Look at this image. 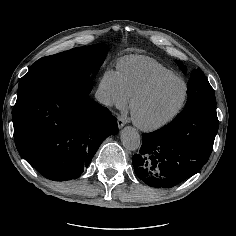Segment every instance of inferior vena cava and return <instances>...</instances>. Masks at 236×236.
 <instances>
[{
    "instance_id": "inferior-vena-cava-1",
    "label": "inferior vena cava",
    "mask_w": 236,
    "mask_h": 236,
    "mask_svg": "<svg viewBox=\"0 0 236 236\" xmlns=\"http://www.w3.org/2000/svg\"><path fill=\"white\" fill-rule=\"evenodd\" d=\"M95 98L98 102L104 105H110L112 103V97L109 90L99 87L95 93Z\"/></svg>"
}]
</instances>
